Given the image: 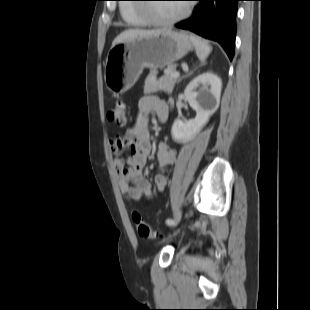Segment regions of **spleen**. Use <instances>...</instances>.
<instances>
[{
    "instance_id": "spleen-1",
    "label": "spleen",
    "mask_w": 310,
    "mask_h": 310,
    "mask_svg": "<svg viewBox=\"0 0 310 310\" xmlns=\"http://www.w3.org/2000/svg\"><path fill=\"white\" fill-rule=\"evenodd\" d=\"M191 40L194 44L198 58L204 62L212 50L211 46L194 35H191Z\"/></svg>"
}]
</instances>
